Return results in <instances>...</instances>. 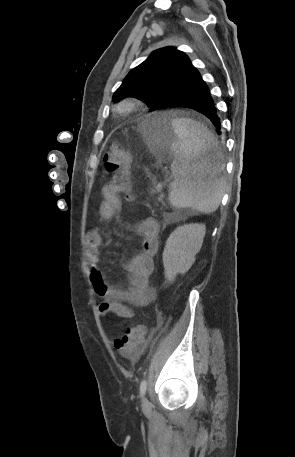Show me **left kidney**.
<instances>
[{
    "label": "left kidney",
    "instance_id": "5707ae66",
    "mask_svg": "<svg viewBox=\"0 0 295 457\" xmlns=\"http://www.w3.org/2000/svg\"><path fill=\"white\" fill-rule=\"evenodd\" d=\"M206 233L204 224L177 227L169 236L163 251L165 278L173 281L177 274H185L195 262Z\"/></svg>",
    "mask_w": 295,
    "mask_h": 457
}]
</instances>
